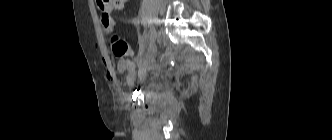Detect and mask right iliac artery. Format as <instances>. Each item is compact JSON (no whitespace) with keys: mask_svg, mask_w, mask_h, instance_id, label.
Listing matches in <instances>:
<instances>
[{"mask_svg":"<svg viewBox=\"0 0 332 140\" xmlns=\"http://www.w3.org/2000/svg\"><path fill=\"white\" fill-rule=\"evenodd\" d=\"M152 30L150 29L149 31H145L143 33V36H142V41H141V50H140V55L143 54V52L145 51L146 47H147V42H148V39L150 37V34H151Z\"/></svg>","mask_w":332,"mask_h":140,"instance_id":"1","label":"right iliac artery"}]
</instances>
